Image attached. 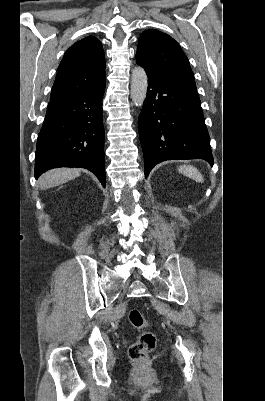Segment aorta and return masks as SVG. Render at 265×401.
Returning a JSON list of instances; mask_svg holds the SVG:
<instances>
[{
	"instance_id": "aorta-1",
	"label": "aorta",
	"mask_w": 265,
	"mask_h": 401,
	"mask_svg": "<svg viewBox=\"0 0 265 401\" xmlns=\"http://www.w3.org/2000/svg\"><path fill=\"white\" fill-rule=\"evenodd\" d=\"M147 74L142 66H135L131 76V98L136 106H141L146 98Z\"/></svg>"
}]
</instances>
